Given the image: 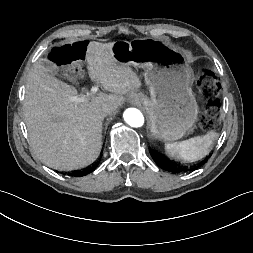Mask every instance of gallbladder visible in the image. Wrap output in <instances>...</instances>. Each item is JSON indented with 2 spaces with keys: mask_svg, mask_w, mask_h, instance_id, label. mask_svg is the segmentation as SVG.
I'll list each match as a JSON object with an SVG mask.
<instances>
[{
  "mask_svg": "<svg viewBox=\"0 0 253 253\" xmlns=\"http://www.w3.org/2000/svg\"><path fill=\"white\" fill-rule=\"evenodd\" d=\"M42 65L44 67V69L49 72L52 75L56 74V70L54 68V66L48 61V60H42Z\"/></svg>",
  "mask_w": 253,
  "mask_h": 253,
  "instance_id": "obj_1",
  "label": "gallbladder"
}]
</instances>
